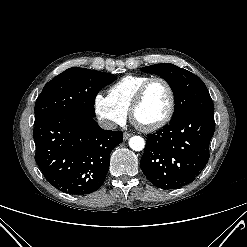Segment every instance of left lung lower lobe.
Instances as JSON below:
<instances>
[{
  "instance_id": "left-lung-lower-lobe-1",
  "label": "left lung lower lobe",
  "mask_w": 247,
  "mask_h": 247,
  "mask_svg": "<svg viewBox=\"0 0 247 247\" xmlns=\"http://www.w3.org/2000/svg\"><path fill=\"white\" fill-rule=\"evenodd\" d=\"M214 114L188 113L148 135L140 166L156 187H183L199 175L209 159Z\"/></svg>"
}]
</instances>
